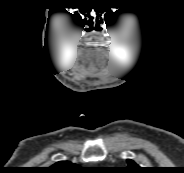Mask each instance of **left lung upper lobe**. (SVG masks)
<instances>
[{
  "label": "left lung upper lobe",
  "mask_w": 184,
  "mask_h": 173,
  "mask_svg": "<svg viewBox=\"0 0 184 173\" xmlns=\"http://www.w3.org/2000/svg\"><path fill=\"white\" fill-rule=\"evenodd\" d=\"M127 161L129 165L127 169L130 170L131 172H139L141 170V168L134 161L130 159H128Z\"/></svg>",
  "instance_id": "1"
}]
</instances>
